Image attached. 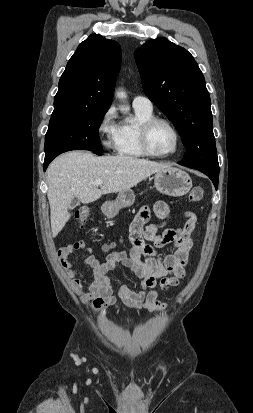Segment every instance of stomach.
Instances as JSON below:
<instances>
[{
	"instance_id": "1",
	"label": "stomach",
	"mask_w": 253,
	"mask_h": 413,
	"mask_svg": "<svg viewBox=\"0 0 253 413\" xmlns=\"http://www.w3.org/2000/svg\"><path fill=\"white\" fill-rule=\"evenodd\" d=\"M154 185L161 194L171 197L184 196L193 186L190 176L185 171L175 167H169L155 173ZM134 201V192L126 190L120 192L115 201L104 203L101 210L105 216L113 218L120 209L130 207Z\"/></svg>"
}]
</instances>
